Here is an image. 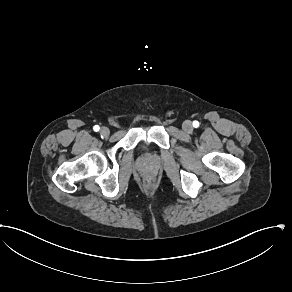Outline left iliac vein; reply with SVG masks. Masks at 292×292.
<instances>
[{
    "instance_id": "1",
    "label": "left iliac vein",
    "mask_w": 292,
    "mask_h": 292,
    "mask_svg": "<svg viewBox=\"0 0 292 292\" xmlns=\"http://www.w3.org/2000/svg\"><path fill=\"white\" fill-rule=\"evenodd\" d=\"M182 128L185 132H191L193 130V124L191 121L187 120L183 123Z\"/></svg>"
}]
</instances>
